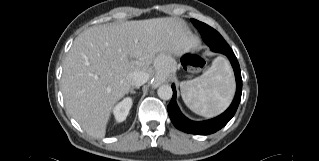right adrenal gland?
I'll list each match as a JSON object with an SVG mask.
<instances>
[{
	"instance_id": "1",
	"label": "right adrenal gland",
	"mask_w": 319,
	"mask_h": 161,
	"mask_svg": "<svg viewBox=\"0 0 319 161\" xmlns=\"http://www.w3.org/2000/svg\"><path fill=\"white\" fill-rule=\"evenodd\" d=\"M135 88H139V87H132V88L129 90V93H130V94H135V91H134Z\"/></svg>"
}]
</instances>
